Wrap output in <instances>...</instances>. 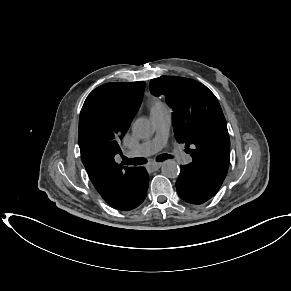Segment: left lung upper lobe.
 <instances>
[{
  "label": "left lung upper lobe",
  "mask_w": 291,
  "mask_h": 291,
  "mask_svg": "<svg viewBox=\"0 0 291 291\" xmlns=\"http://www.w3.org/2000/svg\"><path fill=\"white\" fill-rule=\"evenodd\" d=\"M150 91L155 96L164 95L174 109L175 137L191 154V165L224 181L229 167L230 139L215 95L195 80L175 76L152 79Z\"/></svg>",
  "instance_id": "1"
}]
</instances>
